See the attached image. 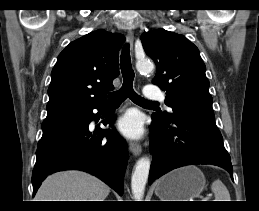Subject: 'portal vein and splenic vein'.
Returning a JSON list of instances; mask_svg holds the SVG:
<instances>
[{
  "label": "portal vein and splenic vein",
  "instance_id": "1",
  "mask_svg": "<svg viewBox=\"0 0 259 211\" xmlns=\"http://www.w3.org/2000/svg\"><path fill=\"white\" fill-rule=\"evenodd\" d=\"M209 197H205L202 199V201H208Z\"/></svg>",
  "mask_w": 259,
  "mask_h": 211
}]
</instances>
